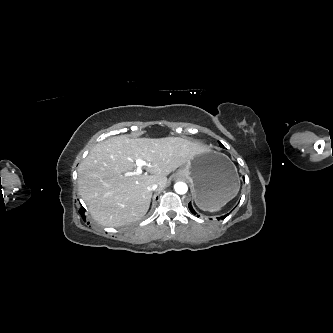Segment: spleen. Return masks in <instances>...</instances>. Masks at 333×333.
Instances as JSON below:
<instances>
[{"instance_id":"obj_1","label":"spleen","mask_w":333,"mask_h":333,"mask_svg":"<svg viewBox=\"0 0 333 333\" xmlns=\"http://www.w3.org/2000/svg\"><path fill=\"white\" fill-rule=\"evenodd\" d=\"M239 187H240V186H238V189H237L236 194H237L238 191H239ZM222 207H223V206H220V207H217V208H208V209H206V211L215 212V211L220 210Z\"/></svg>"}]
</instances>
